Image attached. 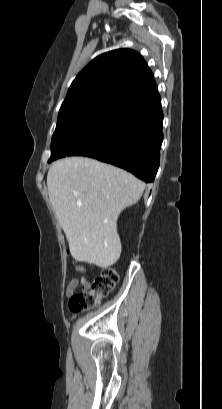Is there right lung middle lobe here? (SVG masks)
Segmentation results:
<instances>
[{
  "label": "right lung middle lobe",
  "instance_id": "right-lung-middle-lobe-1",
  "mask_svg": "<svg viewBox=\"0 0 222 409\" xmlns=\"http://www.w3.org/2000/svg\"><path fill=\"white\" fill-rule=\"evenodd\" d=\"M122 108L117 103H101L60 110L48 162L93 152L102 143L113 118Z\"/></svg>",
  "mask_w": 222,
  "mask_h": 409
}]
</instances>
